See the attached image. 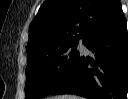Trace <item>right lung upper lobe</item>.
<instances>
[{"mask_svg": "<svg viewBox=\"0 0 128 99\" xmlns=\"http://www.w3.org/2000/svg\"><path fill=\"white\" fill-rule=\"evenodd\" d=\"M121 6L119 0H47L29 27L27 58L84 40Z\"/></svg>", "mask_w": 128, "mask_h": 99, "instance_id": "cb5924a9", "label": "right lung upper lobe"}]
</instances>
